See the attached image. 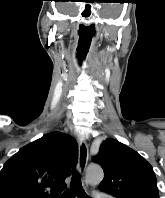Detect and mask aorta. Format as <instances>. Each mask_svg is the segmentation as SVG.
Wrapping results in <instances>:
<instances>
[{
    "instance_id": "1",
    "label": "aorta",
    "mask_w": 165,
    "mask_h": 198,
    "mask_svg": "<svg viewBox=\"0 0 165 198\" xmlns=\"http://www.w3.org/2000/svg\"><path fill=\"white\" fill-rule=\"evenodd\" d=\"M104 178V172L99 165H90L86 171V179L90 185H98Z\"/></svg>"
}]
</instances>
